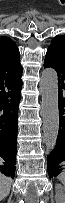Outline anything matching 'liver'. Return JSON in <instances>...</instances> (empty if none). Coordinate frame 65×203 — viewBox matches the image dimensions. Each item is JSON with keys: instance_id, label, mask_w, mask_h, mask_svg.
I'll return each instance as SVG.
<instances>
[{"instance_id": "obj_1", "label": "liver", "mask_w": 65, "mask_h": 203, "mask_svg": "<svg viewBox=\"0 0 65 203\" xmlns=\"http://www.w3.org/2000/svg\"><path fill=\"white\" fill-rule=\"evenodd\" d=\"M11 182V178L0 175V199H4L9 195Z\"/></svg>"}]
</instances>
